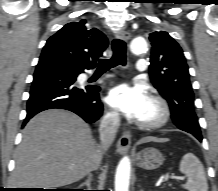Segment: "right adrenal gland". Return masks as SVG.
Returning a JSON list of instances; mask_svg holds the SVG:
<instances>
[{"label":"right adrenal gland","instance_id":"right-adrenal-gland-1","mask_svg":"<svg viewBox=\"0 0 218 191\" xmlns=\"http://www.w3.org/2000/svg\"><path fill=\"white\" fill-rule=\"evenodd\" d=\"M92 180H93L92 174H88L87 180L84 183H82L80 186H87L90 190Z\"/></svg>","mask_w":218,"mask_h":191}]
</instances>
